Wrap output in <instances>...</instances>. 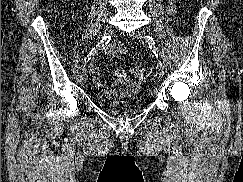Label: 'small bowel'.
<instances>
[{
	"label": "small bowel",
	"instance_id": "1",
	"mask_svg": "<svg viewBox=\"0 0 243 182\" xmlns=\"http://www.w3.org/2000/svg\"><path fill=\"white\" fill-rule=\"evenodd\" d=\"M175 9H176V0H169L168 11L170 13H174ZM125 50H126L125 46L120 42H113L109 46L104 48L105 53L112 58L118 57L119 55L123 54ZM91 73L96 86L102 87L103 83L101 80L100 67L98 63L92 65ZM113 86L114 89L110 90L109 92L114 94L127 93L132 91L135 88V85L127 77V74L124 70H118L114 74Z\"/></svg>",
	"mask_w": 243,
	"mask_h": 182
}]
</instances>
